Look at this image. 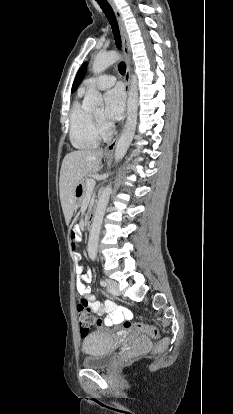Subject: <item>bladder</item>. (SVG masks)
I'll use <instances>...</instances> for the list:
<instances>
[{"instance_id":"1","label":"bladder","mask_w":233,"mask_h":414,"mask_svg":"<svg viewBox=\"0 0 233 414\" xmlns=\"http://www.w3.org/2000/svg\"><path fill=\"white\" fill-rule=\"evenodd\" d=\"M142 342L148 344L146 340ZM85 357L82 366L87 369H106L111 366L115 359L114 338L105 332H91L84 338L82 344Z\"/></svg>"}]
</instances>
